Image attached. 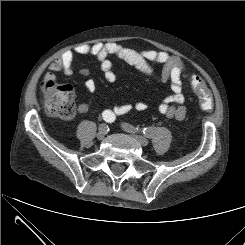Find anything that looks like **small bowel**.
Returning a JSON list of instances; mask_svg holds the SVG:
<instances>
[{"mask_svg":"<svg viewBox=\"0 0 245 245\" xmlns=\"http://www.w3.org/2000/svg\"><path fill=\"white\" fill-rule=\"evenodd\" d=\"M75 53L80 55L94 54L100 63L105 80L109 83H114L117 80L110 57L117 58L133 66L144 75L156 81L170 82L171 94L158 106V112L169 119L177 121H181L186 117L187 109L184 106L185 93L187 91V85L184 80L186 67L180 57L155 50L136 51L117 43L102 42L78 45L75 48ZM73 60L74 52H64L54 62L50 63L48 71L44 75V80L55 82V72H63L67 76L76 73L79 76L88 77L89 72L86 69L81 68L75 71ZM153 64L162 65L159 73L154 70ZM85 88L87 91L93 93L96 89L94 80L87 79ZM133 110L143 112L147 110V104L144 101L122 103L105 110L107 112H103L110 115V118L114 121L116 116L127 114ZM77 111L80 114L86 113L88 111V105L85 103L79 104Z\"/></svg>","mask_w":245,"mask_h":245,"instance_id":"1","label":"small bowel"}]
</instances>
